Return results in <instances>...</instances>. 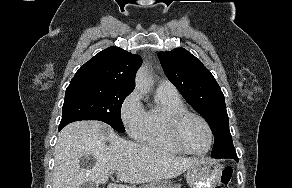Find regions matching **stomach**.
Returning a JSON list of instances; mask_svg holds the SVG:
<instances>
[{
	"instance_id": "obj_1",
	"label": "stomach",
	"mask_w": 292,
	"mask_h": 188,
	"mask_svg": "<svg viewBox=\"0 0 292 188\" xmlns=\"http://www.w3.org/2000/svg\"><path fill=\"white\" fill-rule=\"evenodd\" d=\"M221 175L222 166L218 161L202 157L187 169L186 180L190 188H214Z\"/></svg>"
}]
</instances>
